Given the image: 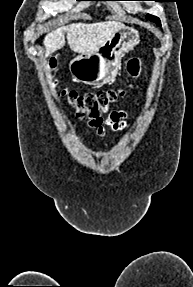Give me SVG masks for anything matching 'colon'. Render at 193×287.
Masks as SVG:
<instances>
[{
	"mask_svg": "<svg viewBox=\"0 0 193 287\" xmlns=\"http://www.w3.org/2000/svg\"><path fill=\"white\" fill-rule=\"evenodd\" d=\"M54 66V62L52 63ZM127 71L132 77H138L141 72V59L131 58L127 62ZM58 95L64 98L78 115L99 120L110 111V107L121 98L125 91L122 89H108L85 94H78L73 90L59 87L55 84Z\"/></svg>",
	"mask_w": 193,
	"mask_h": 287,
	"instance_id": "obj_1",
	"label": "colon"
}]
</instances>
